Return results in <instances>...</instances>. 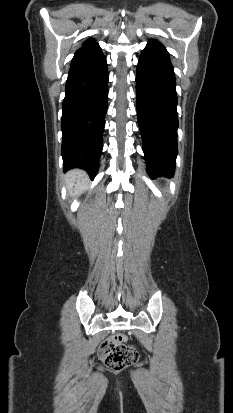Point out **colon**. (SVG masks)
Masks as SVG:
<instances>
[{
    "label": "colon",
    "mask_w": 233,
    "mask_h": 413,
    "mask_svg": "<svg viewBox=\"0 0 233 413\" xmlns=\"http://www.w3.org/2000/svg\"><path fill=\"white\" fill-rule=\"evenodd\" d=\"M98 353L105 365L113 370L124 369L138 360L137 350L126 344V337L122 334L102 341Z\"/></svg>",
    "instance_id": "obj_1"
}]
</instances>
